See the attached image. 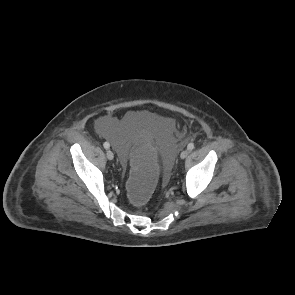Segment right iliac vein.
<instances>
[{
  "label": "right iliac vein",
  "instance_id": "right-iliac-vein-1",
  "mask_svg": "<svg viewBox=\"0 0 295 295\" xmlns=\"http://www.w3.org/2000/svg\"><path fill=\"white\" fill-rule=\"evenodd\" d=\"M106 156L109 160H113V158H114V154L111 150H107Z\"/></svg>",
  "mask_w": 295,
  "mask_h": 295
}]
</instances>
